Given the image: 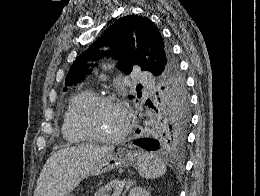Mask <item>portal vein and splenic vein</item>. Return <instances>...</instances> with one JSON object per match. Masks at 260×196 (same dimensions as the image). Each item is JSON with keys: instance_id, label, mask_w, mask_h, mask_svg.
Instances as JSON below:
<instances>
[{"instance_id": "1", "label": "portal vein and splenic vein", "mask_w": 260, "mask_h": 196, "mask_svg": "<svg viewBox=\"0 0 260 196\" xmlns=\"http://www.w3.org/2000/svg\"><path fill=\"white\" fill-rule=\"evenodd\" d=\"M123 188H124V182L120 181L119 186L116 187L112 196H119V194L121 193V190H123Z\"/></svg>"}]
</instances>
